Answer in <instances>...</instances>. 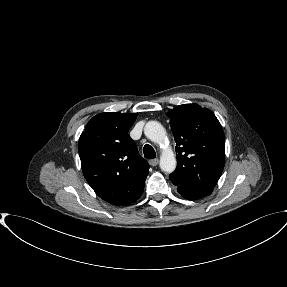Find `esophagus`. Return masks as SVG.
<instances>
[{
    "mask_svg": "<svg viewBox=\"0 0 287 287\" xmlns=\"http://www.w3.org/2000/svg\"><path fill=\"white\" fill-rule=\"evenodd\" d=\"M158 163H159V159L158 158H155V159H152V160H150L149 161V164L151 165V166H157L158 165Z\"/></svg>",
    "mask_w": 287,
    "mask_h": 287,
    "instance_id": "obj_1",
    "label": "esophagus"
}]
</instances>
